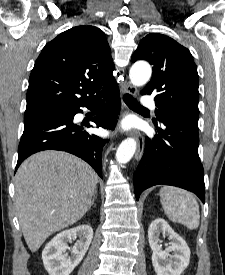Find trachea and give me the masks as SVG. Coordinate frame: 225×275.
Wrapping results in <instances>:
<instances>
[{"label":"trachea","mask_w":225,"mask_h":275,"mask_svg":"<svg viewBox=\"0 0 225 275\" xmlns=\"http://www.w3.org/2000/svg\"><path fill=\"white\" fill-rule=\"evenodd\" d=\"M123 99L130 108L146 110V108L141 106L130 94H125Z\"/></svg>","instance_id":"3493384b"}]
</instances>
